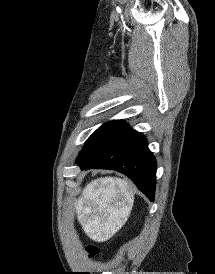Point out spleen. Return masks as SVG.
<instances>
[{"label":"spleen","mask_w":215,"mask_h":274,"mask_svg":"<svg viewBox=\"0 0 215 274\" xmlns=\"http://www.w3.org/2000/svg\"><path fill=\"white\" fill-rule=\"evenodd\" d=\"M84 196L92 209L85 217L84 227L88 235L103 240L112 223L122 219L131 210L134 195L129 184L120 178H105L90 183L84 190Z\"/></svg>","instance_id":"obj_1"}]
</instances>
